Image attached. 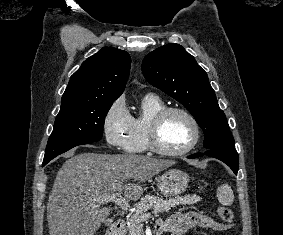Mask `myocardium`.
Masks as SVG:
<instances>
[{"instance_id":"f54148a6","label":"myocardium","mask_w":283,"mask_h":235,"mask_svg":"<svg viewBox=\"0 0 283 235\" xmlns=\"http://www.w3.org/2000/svg\"><path fill=\"white\" fill-rule=\"evenodd\" d=\"M171 113H180L184 115L192 125L193 137L190 143L184 148L176 151L166 150L162 148L158 142V132L162 122ZM201 136L200 125L195 116L183 107H165L160 110L149 122L147 129V145L150 151L161 156L177 157L182 156L192 151L199 143Z\"/></svg>"}]
</instances>
